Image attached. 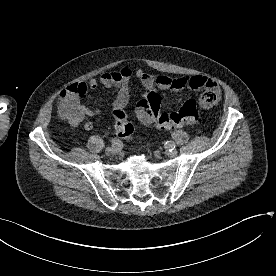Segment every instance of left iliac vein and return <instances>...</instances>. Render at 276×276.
Segmentation results:
<instances>
[{
	"label": "left iliac vein",
	"mask_w": 276,
	"mask_h": 276,
	"mask_svg": "<svg viewBox=\"0 0 276 276\" xmlns=\"http://www.w3.org/2000/svg\"><path fill=\"white\" fill-rule=\"evenodd\" d=\"M166 153L169 157H175L178 152L176 149H167Z\"/></svg>",
	"instance_id": "1"
}]
</instances>
